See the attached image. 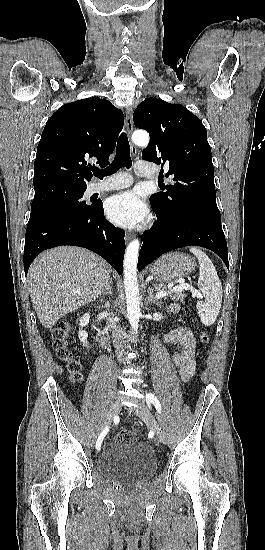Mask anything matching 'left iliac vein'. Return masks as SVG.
Instances as JSON below:
<instances>
[{"label": "left iliac vein", "instance_id": "1", "mask_svg": "<svg viewBox=\"0 0 265 550\" xmlns=\"http://www.w3.org/2000/svg\"><path fill=\"white\" fill-rule=\"evenodd\" d=\"M134 411L138 417H140L147 425L150 426L159 441L164 443V436L149 409L144 404H141L140 406L134 408Z\"/></svg>", "mask_w": 265, "mask_h": 550}]
</instances>
